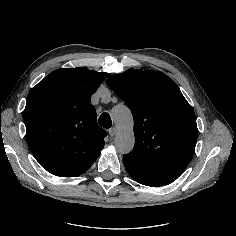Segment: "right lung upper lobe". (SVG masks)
Returning <instances> with one entry per match:
<instances>
[{"mask_svg":"<svg viewBox=\"0 0 236 236\" xmlns=\"http://www.w3.org/2000/svg\"><path fill=\"white\" fill-rule=\"evenodd\" d=\"M107 76L83 67L50 73L29 93L23 113L26 137L40 165L51 174L86 172L104 147L91 95Z\"/></svg>","mask_w":236,"mask_h":236,"instance_id":"1","label":"right lung upper lobe"}]
</instances>
